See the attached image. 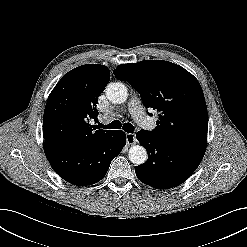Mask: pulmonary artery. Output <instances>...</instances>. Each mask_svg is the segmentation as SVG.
<instances>
[{
    "mask_svg": "<svg viewBox=\"0 0 247 247\" xmlns=\"http://www.w3.org/2000/svg\"><path fill=\"white\" fill-rule=\"evenodd\" d=\"M128 110L134 120L144 129L152 130L154 127L153 120L148 117L140 104V101L136 97H132L128 102Z\"/></svg>",
    "mask_w": 247,
    "mask_h": 247,
    "instance_id": "pulmonary-artery-1",
    "label": "pulmonary artery"
}]
</instances>
